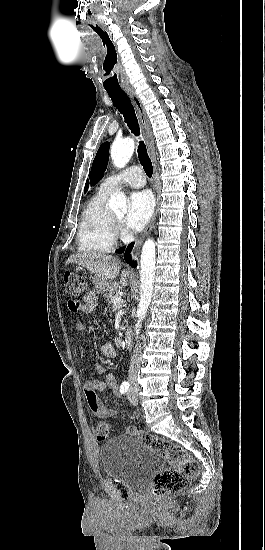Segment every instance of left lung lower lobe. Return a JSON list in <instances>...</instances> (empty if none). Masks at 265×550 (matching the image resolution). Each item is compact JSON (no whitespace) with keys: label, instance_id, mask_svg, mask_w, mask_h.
<instances>
[{"label":"left lung lower lobe","instance_id":"left-lung-lower-lobe-1","mask_svg":"<svg viewBox=\"0 0 265 550\" xmlns=\"http://www.w3.org/2000/svg\"><path fill=\"white\" fill-rule=\"evenodd\" d=\"M125 251V248H121L120 250H118L117 252L118 253H123Z\"/></svg>","mask_w":265,"mask_h":550}]
</instances>
